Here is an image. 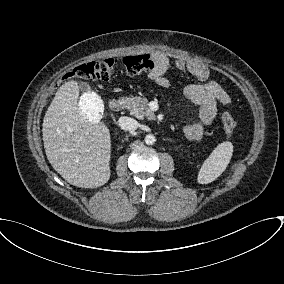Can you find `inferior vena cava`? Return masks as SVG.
<instances>
[{
	"instance_id": "602c4592",
	"label": "inferior vena cava",
	"mask_w": 284,
	"mask_h": 284,
	"mask_svg": "<svg viewBox=\"0 0 284 284\" xmlns=\"http://www.w3.org/2000/svg\"><path fill=\"white\" fill-rule=\"evenodd\" d=\"M118 122L119 126L126 131L135 130L139 127L137 120L126 116L120 117Z\"/></svg>"
}]
</instances>
